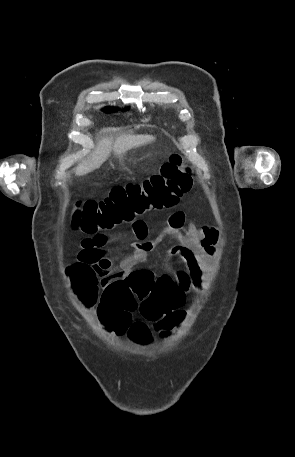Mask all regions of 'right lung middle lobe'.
Masks as SVG:
<instances>
[{"label":"right lung middle lobe","mask_w":295,"mask_h":457,"mask_svg":"<svg viewBox=\"0 0 295 457\" xmlns=\"http://www.w3.org/2000/svg\"><path fill=\"white\" fill-rule=\"evenodd\" d=\"M103 110H104L105 112H113V111H116L117 109H116V108L107 107V108H104Z\"/></svg>","instance_id":"dd1d6c3e"}]
</instances>
